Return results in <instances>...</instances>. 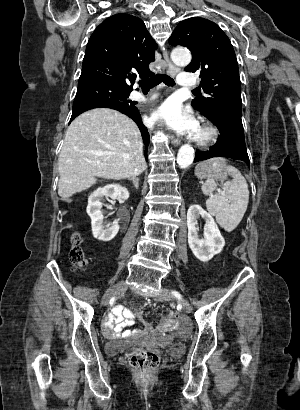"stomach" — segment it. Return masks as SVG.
<instances>
[{
    "label": "stomach",
    "instance_id": "0dacf381",
    "mask_svg": "<svg viewBox=\"0 0 300 410\" xmlns=\"http://www.w3.org/2000/svg\"><path fill=\"white\" fill-rule=\"evenodd\" d=\"M227 165L222 158H213L199 163L195 168V174L199 178L208 180H224L227 177Z\"/></svg>",
    "mask_w": 300,
    "mask_h": 410
}]
</instances>
